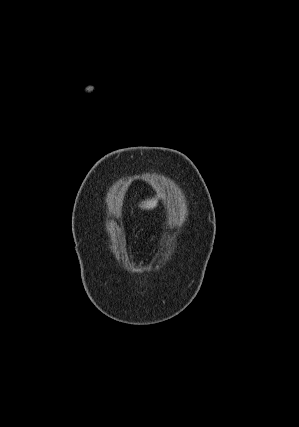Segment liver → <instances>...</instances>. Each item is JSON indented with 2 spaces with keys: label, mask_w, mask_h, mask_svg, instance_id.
Returning a JSON list of instances; mask_svg holds the SVG:
<instances>
[{
  "label": "liver",
  "mask_w": 299,
  "mask_h": 427,
  "mask_svg": "<svg viewBox=\"0 0 299 427\" xmlns=\"http://www.w3.org/2000/svg\"><path fill=\"white\" fill-rule=\"evenodd\" d=\"M157 205V200L152 199V200H147L145 202L142 203L141 208L143 209H153L155 208Z\"/></svg>",
  "instance_id": "obj_1"
}]
</instances>
